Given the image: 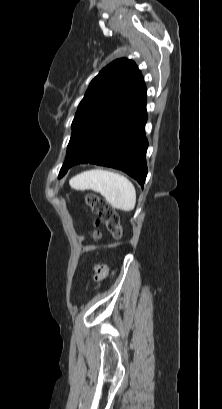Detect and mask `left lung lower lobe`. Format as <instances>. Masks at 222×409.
Here are the masks:
<instances>
[{
    "label": "left lung lower lobe",
    "instance_id": "left-lung-lower-lobe-1",
    "mask_svg": "<svg viewBox=\"0 0 222 409\" xmlns=\"http://www.w3.org/2000/svg\"><path fill=\"white\" fill-rule=\"evenodd\" d=\"M146 102L130 101L117 118L100 130L71 162L120 169L143 185L147 175Z\"/></svg>",
    "mask_w": 222,
    "mask_h": 409
}]
</instances>
